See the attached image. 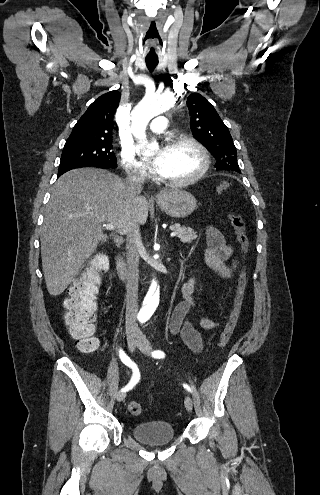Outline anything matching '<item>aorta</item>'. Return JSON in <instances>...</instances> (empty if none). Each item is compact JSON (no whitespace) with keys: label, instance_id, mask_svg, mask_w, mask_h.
I'll return each instance as SVG.
<instances>
[{"label":"aorta","instance_id":"obj_1","mask_svg":"<svg viewBox=\"0 0 320 495\" xmlns=\"http://www.w3.org/2000/svg\"><path fill=\"white\" fill-rule=\"evenodd\" d=\"M177 101L170 92L160 96L146 95L131 113V131L136 140L139 151L147 156L153 155L159 149L157 143H149L146 136V127L149 121L174 107ZM160 289L155 280L152 281L149 291L143 301L142 311L150 317L159 304Z\"/></svg>","mask_w":320,"mask_h":495}]
</instances>
